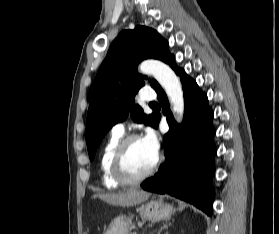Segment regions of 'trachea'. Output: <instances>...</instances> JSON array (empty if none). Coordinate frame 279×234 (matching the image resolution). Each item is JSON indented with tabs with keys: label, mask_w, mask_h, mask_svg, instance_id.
Listing matches in <instances>:
<instances>
[{
	"label": "trachea",
	"mask_w": 279,
	"mask_h": 234,
	"mask_svg": "<svg viewBox=\"0 0 279 234\" xmlns=\"http://www.w3.org/2000/svg\"><path fill=\"white\" fill-rule=\"evenodd\" d=\"M150 105H157V103L156 102H152V103H150Z\"/></svg>",
	"instance_id": "3493384b"
}]
</instances>
